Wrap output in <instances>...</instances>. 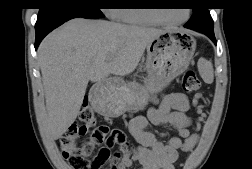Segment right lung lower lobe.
<instances>
[{"label": "right lung lower lobe", "instance_id": "98d812e1", "mask_svg": "<svg viewBox=\"0 0 252 169\" xmlns=\"http://www.w3.org/2000/svg\"><path fill=\"white\" fill-rule=\"evenodd\" d=\"M78 17L87 19H97V17H93L80 12H66V13L53 14L46 18L37 20L35 25V31H36L35 49H37L41 40L53 29L62 25L63 23H65L70 19Z\"/></svg>", "mask_w": 252, "mask_h": 169}]
</instances>
